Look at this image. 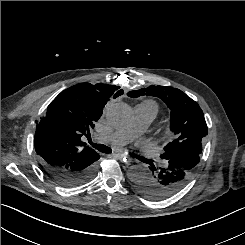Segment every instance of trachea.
<instances>
[{"mask_svg": "<svg viewBox=\"0 0 245 245\" xmlns=\"http://www.w3.org/2000/svg\"><path fill=\"white\" fill-rule=\"evenodd\" d=\"M89 143L95 148L97 149L98 151L102 152V153H106V154H109L112 152L111 148H109L108 146L106 145H99V144H96V143H93L91 140H89Z\"/></svg>", "mask_w": 245, "mask_h": 245, "instance_id": "3493384b", "label": "trachea"}]
</instances>
